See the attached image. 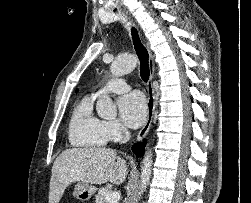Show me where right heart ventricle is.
Wrapping results in <instances>:
<instances>
[{
  "label": "right heart ventricle",
  "mask_w": 251,
  "mask_h": 203,
  "mask_svg": "<svg viewBox=\"0 0 251 203\" xmlns=\"http://www.w3.org/2000/svg\"><path fill=\"white\" fill-rule=\"evenodd\" d=\"M93 101V96L84 97L72 113L69 140L74 146L97 148L107 142L103 121L93 114Z\"/></svg>",
  "instance_id": "1"
}]
</instances>
